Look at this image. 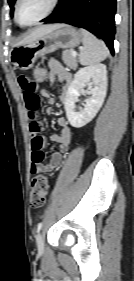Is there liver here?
Segmentation results:
<instances>
[{
    "label": "liver",
    "instance_id": "obj_1",
    "mask_svg": "<svg viewBox=\"0 0 134 281\" xmlns=\"http://www.w3.org/2000/svg\"><path fill=\"white\" fill-rule=\"evenodd\" d=\"M59 26H60L59 24H54V25H44L38 27L33 31H31V33L28 36H26L22 41H20L17 45L31 43L34 40L38 39L39 37L57 29Z\"/></svg>",
    "mask_w": 134,
    "mask_h": 281
}]
</instances>
